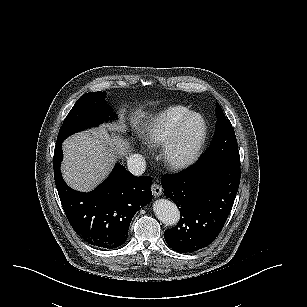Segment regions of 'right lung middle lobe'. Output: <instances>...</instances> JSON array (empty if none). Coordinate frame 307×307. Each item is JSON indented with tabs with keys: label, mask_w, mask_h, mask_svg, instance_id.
Instances as JSON below:
<instances>
[{
	"label": "right lung middle lobe",
	"mask_w": 307,
	"mask_h": 307,
	"mask_svg": "<svg viewBox=\"0 0 307 307\" xmlns=\"http://www.w3.org/2000/svg\"><path fill=\"white\" fill-rule=\"evenodd\" d=\"M116 118L112 109L105 103V92H91L82 95L65 118L60 128L57 143L83 129Z\"/></svg>",
	"instance_id": "dd1d6c3e"
}]
</instances>
